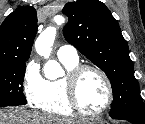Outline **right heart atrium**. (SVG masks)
Segmentation results:
<instances>
[{
    "mask_svg": "<svg viewBox=\"0 0 145 124\" xmlns=\"http://www.w3.org/2000/svg\"><path fill=\"white\" fill-rule=\"evenodd\" d=\"M44 79L40 74L39 64L32 60L27 63L23 80V92L27 101L36 106L41 99Z\"/></svg>",
    "mask_w": 145,
    "mask_h": 124,
    "instance_id": "1",
    "label": "right heart atrium"
}]
</instances>
